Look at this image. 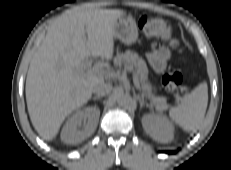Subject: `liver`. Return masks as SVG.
<instances>
[{"mask_svg": "<svg viewBox=\"0 0 231 170\" xmlns=\"http://www.w3.org/2000/svg\"><path fill=\"white\" fill-rule=\"evenodd\" d=\"M125 14L77 6L50 26L30 63L25 88L30 120L43 139L53 140L65 118L86 104L103 80L108 64L90 69L84 60L90 55L112 58L114 27Z\"/></svg>", "mask_w": 231, "mask_h": 170, "instance_id": "liver-1", "label": "liver"}]
</instances>
